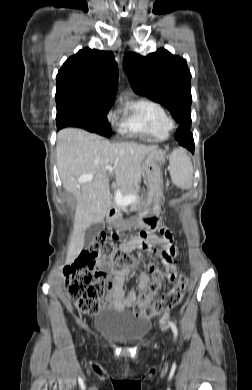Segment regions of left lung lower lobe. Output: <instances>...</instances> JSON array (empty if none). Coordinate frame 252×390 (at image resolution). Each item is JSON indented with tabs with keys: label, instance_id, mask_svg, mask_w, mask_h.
<instances>
[{
	"label": "left lung lower lobe",
	"instance_id": "obj_1",
	"mask_svg": "<svg viewBox=\"0 0 252 390\" xmlns=\"http://www.w3.org/2000/svg\"><path fill=\"white\" fill-rule=\"evenodd\" d=\"M191 126L182 125L178 128V131L175 133V139L183 147H186L192 153H194V141L193 136L190 132Z\"/></svg>",
	"mask_w": 252,
	"mask_h": 390
}]
</instances>
